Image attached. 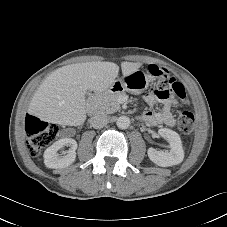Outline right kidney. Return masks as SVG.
<instances>
[{
	"instance_id": "1",
	"label": "right kidney",
	"mask_w": 227,
	"mask_h": 227,
	"mask_svg": "<svg viewBox=\"0 0 227 227\" xmlns=\"http://www.w3.org/2000/svg\"><path fill=\"white\" fill-rule=\"evenodd\" d=\"M70 146L66 153L59 154L58 151ZM77 142L72 138H62L54 142L44 152V164L47 168L58 169L71 165L76 158Z\"/></svg>"
}]
</instances>
